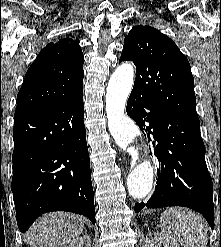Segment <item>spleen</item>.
I'll return each mask as SVG.
<instances>
[{
	"instance_id": "spleen-1",
	"label": "spleen",
	"mask_w": 221,
	"mask_h": 247,
	"mask_svg": "<svg viewBox=\"0 0 221 247\" xmlns=\"http://www.w3.org/2000/svg\"><path fill=\"white\" fill-rule=\"evenodd\" d=\"M161 228L164 236L183 247H207L208 238L204 219L194 212L174 207L161 215Z\"/></svg>"
}]
</instances>
